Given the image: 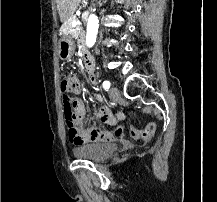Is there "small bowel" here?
I'll return each instance as SVG.
<instances>
[{
    "instance_id": "small-bowel-1",
    "label": "small bowel",
    "mask_w": 217,
    "mask_h": 202,
    "mask_svg": "<svg viewBox=\"0 0 217 202\" xmlns=\"http://www.w3.org/2000/svg\"><path fill=\"white\" fill-rule=\"evenodd\" d=\"M88 82L90 85H95L96 78L90 79L88 77ZM92 98L97 109L90 118H87V106L83 99L76 98L69 103L72 115L75 118L74 130L69 131V141L74 147L111 142L121 136V132H118V129L106 131V128L98 127L96 121L100 120L114 127L123 120V114L114 113L108 106L104 105L99 94L93 93Z\"/></svg>"
}]
</instances>
